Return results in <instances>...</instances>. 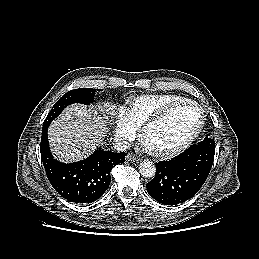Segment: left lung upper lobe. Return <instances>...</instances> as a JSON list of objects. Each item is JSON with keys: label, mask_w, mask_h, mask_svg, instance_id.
<instances>
[{"label": "left lung upper lobe", "mask_w": 259, "mask_h": 259, "mask_svg": "<svg viewBox=\"0 0 259 259\" xmlns=\"http://www.w3.org/2000/svg\"><path fill=\"white\" fill-rule=\"evenodd\" d=\"M197 145L200 146V147H205V148L215 150L214 138L206 137L203 141L199 142Z\"/></svg>", "instance_id": "5c2ea615"}]
</instances>
